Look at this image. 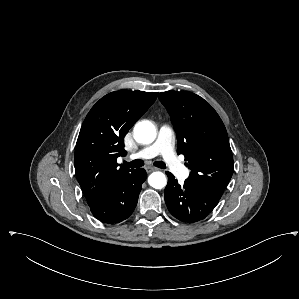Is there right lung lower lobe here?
Listing matches in <instances>:
<instances>
[{
    "label": "right lung lower lobe",
    "mask_w": 299,
    "mask_h": 299,
    "mask_svg": "<svg viewBox=\"0 0 299 299\" xmlns=\"http://www.w3.org/2000/svg\"><path fill=\"white\" fill-rule=\"evenodd\" d=\"M145 179L144 169H133L122 175L89 205L91 212L97 219L107 224L119 223L127 219L136 207Z\"/></svg>",
    "instance_id": "right-lung-lower-lobe-1"
}]
</instances>
